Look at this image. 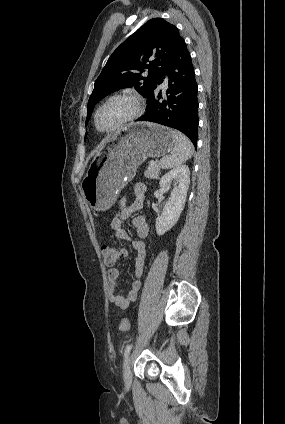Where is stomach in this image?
<instances>
[{"instance_id":"obj_1","label":"stomach","mask_w":285,"mask_h":424,"mask_svg":"<svg viewBox=\"0 0 285 424\" xmlns=\"http://www.w3.org/2000/svg\"><path fill=\"white\" fill-rule=\"evenodd\" d=\"M173 147L170 128L153 123L128 125L125 134L107 141L89 165L81 182L85 201L94 210H108L141 163L148 157L164 156Z\"/></svg>"}]
</instances>
